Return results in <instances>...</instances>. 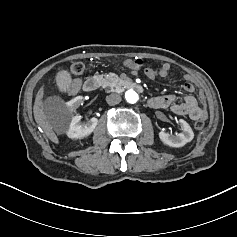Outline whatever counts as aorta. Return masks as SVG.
<instances>
[{
    "instance_id": "aorta-1",
    "label": "aorta",
    "mask_w": 237,
    "mask_h": 237,
    "mask_svg": "<svg viewBox=\"0 0 237 237\" xmlns=\"http://www.w3.org/2000/svg\"><path fill=\"white\" fill-rule=\"evenodd\" d=\"M125 99L128 103L134 104L138 101V94L134 90H127L125 92Z\"/></svg>"
}]
</instances>
